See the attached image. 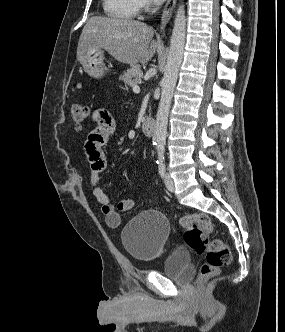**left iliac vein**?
Segmentation results:
<instances>
[{"label":"left iliac vein","instance_id":"4c4485c4","mask_svg":"<svg viewBox=\"0 0 285 332\" xmlns=\"http://www.w3.org/2000/svg\"><path fill=\"white\" fill-rule=\"evenodd\" d=\"M164 182H165L167 189L169 191L173 192L175 189L174 181L168 173H166L164 176Z\"/></svg>","mask_w":285,"mask_h":332}]
</instances>
